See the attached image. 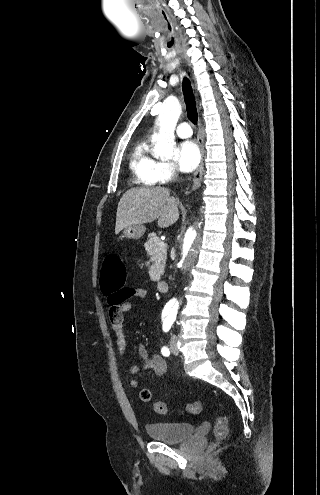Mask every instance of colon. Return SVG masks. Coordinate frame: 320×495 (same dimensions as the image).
I'll use <instances>...</instances> for the list:
<instances>
[{
    "label": "colon",
    "instance_id": "5ec220e1",
    "mask_svg": "<svg viewBox=\"0 0 320 495\" xmlns=\"http://www.w3.org/2000/svg\"><path fill=\"white\" fill-rule=\"evenodd\" d=\"M126 280V268L121 258L116 254L108 255L102 264L100 273V286L104 293L109 294L111 292H120L124 287ZM126 299V294L121 292L117 301L122 302ZM140 399L142 401H150L151 392L148 389H143L140 392ZM154 410L158 414H165L167 412V404L162 401H158L154 404ZM185 410L189 414L197 415L201 411L200 402H190L185 406ZM228 434V418L226 416H219L215 421L214 437L217 442L223 441Z\"/></svg>",
    "mask_w": 320,
    "mask_h": 495
}]
</instances>
